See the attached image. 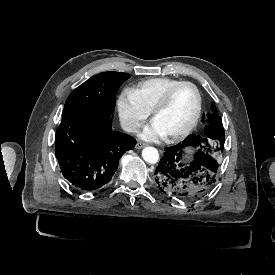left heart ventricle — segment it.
<instances>
[{
  "instance_id": "obj_1",
  "label": "left heart ventricle",
  "mask_w": 275,
  "mask_h": 275,
  "mask_svg": "<svg viewBox=\"0 0 275 275\" xmlns=\"http://www.w3.org/2000/svg\"><path fill=\"white\" fill-rule=\"evenodd\" d=\"M197 96L191 85H181L173 92L167 106L154 118V123L166 134L183 129L193 118Z\"/></svg>"
}]
</instances>
